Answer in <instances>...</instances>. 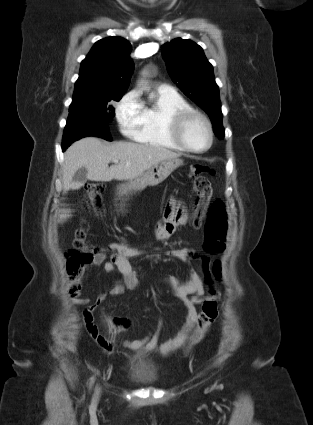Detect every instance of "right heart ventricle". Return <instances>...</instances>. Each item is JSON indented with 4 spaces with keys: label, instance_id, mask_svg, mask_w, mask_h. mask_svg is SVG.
I'll list each match as a JSON object with an SVG mask.
<instances>
[{
    "label": "right heart ventricle",
    "instance_id": "1",
    "mask_svg": "<svg viewBox=\"0 0 313 425\" xmlns=\"http://www.w3.org/2000/svg\"><path fill=\"white\" fill-rule=\"evenodd\" d=\"M187 108H190L189 104L177 92L155 90L150 103L143 105L142 124L132 137L148 146L185 151L174 141L170 122L176 111Z\"/></svg>",
    "mask_w": 313,
    "mask_h": 425
}]
</instances>
